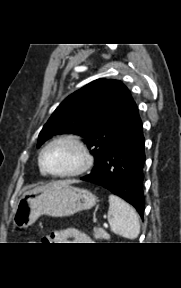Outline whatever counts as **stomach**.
I'll return each mask as SVG.
<instances>
[{"label": "stomach", "instance_id": "obj_1", "mask_svg": "<svg viewBox=\"0 0 181 288\" xmlns=\"http://www.w3.org/2000/svg\"><path fill=\"white\" fill-rule=\"evenodd\" d=\"M95 204V195L87 189L65 181L51 182L20 197L13 215V225L28 228L41 215L67 217L91 209Z\"/></svg>", "mask_w": 181, "mask_h": 288}]
</instances>
